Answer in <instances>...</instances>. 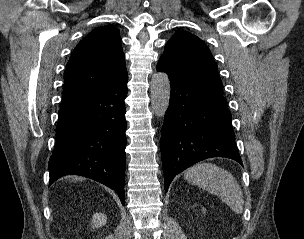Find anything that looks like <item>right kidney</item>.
<instances>
[{
	"label": "right kidney",
	"mask_w": 304,
	"mask_h": 239,
	"mask_svg": "<svg viewBox=\"0 0 304 239\" xmlns=\"http://www.w3.org/2000/svg\"><path fill=\"white\" fill-rule=\"evenodd\" d=\"M95 218L97 219V221L96 220L93 221V225H92L93 229L95 227H101L106 223V217L102 214L95 216ZM96 223H98V225H96Z\"/></svg>",
	"instance_id": "ca27d5eb"
}]
</instances>
